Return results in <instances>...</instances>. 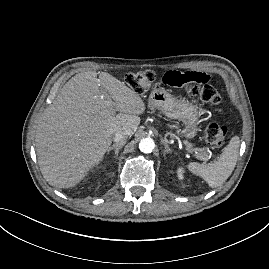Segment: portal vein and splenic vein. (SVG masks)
<instances>
[{
  "label": "portal vein and splenic vein",
  "mask_w": 269,
  "mask_h": 269,
  "mask_svg": "<svg viewBox=\"0 0 269 269\" xmlns=\"http://www.w3.org/2000/svg\"><path fill=\"white\" fill-rule=\"evenodd\" d=\"M187 151H188L189 153H193V151H192V150H190V149H187Z\"/></svg>",
  "instance_id": "1"
}]
</instances>
